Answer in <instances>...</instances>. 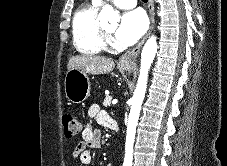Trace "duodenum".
<instances>
[{
    "instance_id": "duodenum-1",
    "label": "duodenum",
    "mask_w": 227,
    "mask_h": 166,
    "mask_svg": "<svg viewBox=\"0 0 227 166\" xmlns=\"http://www.w3.org/2000/svg\"><path fill=\"white\" fill-rule=\"evenodd\" d=\"M110 127H111L113 130H117V129H118V123H117V121L114 120V119H112V120H111Z\"/></svg>"
}]
</instances>
